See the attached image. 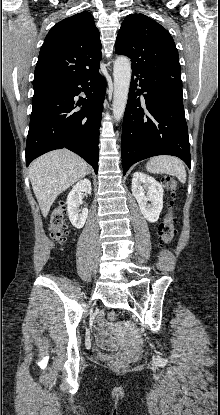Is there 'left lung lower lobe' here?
I'll list each match as a JSON object with an SVG mask.
<instances>
[{"mask_svg": "<svg viewBox=\"0 0 220 415\" xmlns=\"http://www.w3.org/2000/svg\"><path fill=\"white\" fill-rule=\"evenodd\" d=\"M121 146L124 175L156 155L177 156L191 167L180 77L132 69Z\"/></svg>", "mask_w": 220, "mask_h": 415, "instance_id": "1", "label": "left lung lower lobe"}]
</instances>
